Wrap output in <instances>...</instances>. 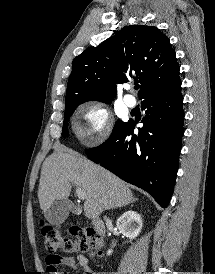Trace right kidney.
Segmentation results:
<instances>
[{
	"label": "right kidney",
	"mask_w": 215,
	"mask_h": 274,
	"mask_svg": "<svg viewBox=\"0 0 215 274\" xmlns=\"http://www.w3.org/2000/svg\"><path fill=\"white\" fill-rule=\"evenodd\" d=\"M142 225L143 222L141 216L135 211L131 210L121 215L116 222V226L119 231L130 240L139 235L142 229ZM112 252L113 251L109 249L107 255H111Z\"/></svg>",
	"instance_id": "right-kidney-1"
}]
</instances>
